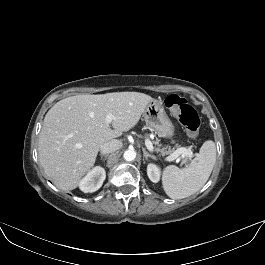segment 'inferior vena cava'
<instances>
[{
	"mask_svg": "<svg viewBox=\"0 0 265 265\" xmlns=\"http://www.w3.org/2000/svg\"><path fill=\"white\" fill-rule=\"evenodd\" d=\"M120 147H121V142L119 140H111V141L104 143L100 147V153L103 155L109 154V153L115 152Z\"/></svg>",
	"mask_w": 265,
	"mask_h": 265,
	"instance_id": "inferior-vena-cava-1",
	"label": "inferior vena cava"
}]
</instances>
